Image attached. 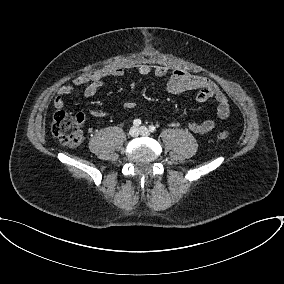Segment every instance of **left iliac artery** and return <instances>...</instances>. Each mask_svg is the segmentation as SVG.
Segmentation results:
<instances>
[{"label":"left iliac artery","instance_id":"left-iliac-artery-1","mask_svg":"<svg viewBox=\"0 0 284 284\" xmlns=\"http://www.w3.org/2000/svg\"><path fill=\"white\" fill-rule=\"evenodd\" d=\"M149 131L152 132V133L155 132L156 131V127L154 125H150L149 126Z\"/></svg>","mask_w":284,"mask_h":284}]
</instances>
